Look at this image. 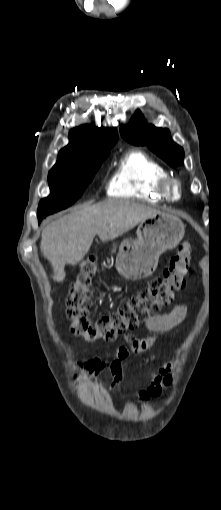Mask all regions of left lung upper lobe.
<instances>
[{
  "mask_svg": "<svg viewBox=\"0 0 221 510\" xmlns=\"http://www.w3.org/2000/svg\"><path fill=\"white\" fill-rule=\"evenodd\" d=\"M120 132L129 143L147 146L170 166L183 164L184 151L172 141L169 130L147 124L139 110L130 125L122 126Z\"/></svg>",
  "mask_w": 221,
  "mask_h": 510,
  "instance_id": "5c2ea615",
  "label": "left lung upper lobe"
}]
</instances>
